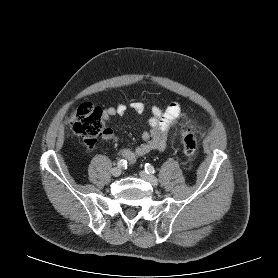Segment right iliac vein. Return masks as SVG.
<instances>
[{"mask_svg": "<svg viewBox=\"0 0 278 278\" xmlns=\"http://www.w3.org/2000/svg\"><path fill=\"white\" fill-rule=\"evenodd\" d=\"M121 172H122V170H121V168H120L119 166L114 167V168L111 170V173H112V175H113L114 177L120 176Z\"/></svg>", "mask_w": 278, "mask_h": 278, "instance_id": "1", "label": "right iliac vein"}]
</instances>
